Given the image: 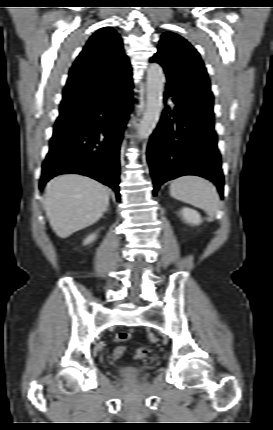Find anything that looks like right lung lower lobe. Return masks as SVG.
Masks as SVG:
<instances>
[{
    "instance_id": "obj_1",
    "label": "right lung lower lobe",
    "mask_w": 273,
    "mask_h": 430,
    "mask_svg": "<svg viewBox=\"0 0 273 430\" xmlns=\"http://www.w3.org/2000/svg\"><path fill=\"white\" fill-rule=\"evenodd\" d=\"M132 88L102 89L77 121L54 130L40 189L56 175L78 173L110 186L120 200V144L132 109Z\"/></svg>"
}]
</instances>
